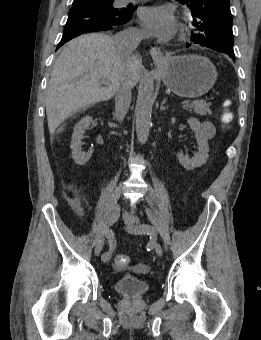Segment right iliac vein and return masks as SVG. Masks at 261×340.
Segmentation results:
<instances>
[{"label":"right iliac vein","instance_id":"right-iliac-vein-1","mask_svg":"<svg viewBox=\"0 0 261 340\" xmlns=\"http://www.w3.org/2000/svg\"><path fill=\"white\" fill-rule=\"evenodd\" d=\"M120 216V207L118 205H115L111 208L110 210V215H109V219H108V224L110 226H112L114 223L117 222V220L119 219ZM103 246H104V241H100L94 248L93 254L94 256H98L100 255V253L103 250Z\"/></svg>","mask_w":261,"mask_h":340}]
</instances>
